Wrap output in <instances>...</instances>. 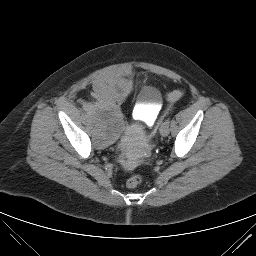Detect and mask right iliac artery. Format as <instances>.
Instances as JSON below:
<instances>
[{"label": "right iliac artery", "instance_id": "obj_1", "mask_svg": "<svg viewBox=\"0 0 256 256\" xmlns=\"http://www.w3.org/2000/svg\"><path fill=\"white\" fill-rule=\"evenodd\" d=\"M83 109H84L85 112L91 111V108L89 106H87V105H84Z\"/></svg>", "mask_w": 256, "mask_h": 256}]
</instances>
